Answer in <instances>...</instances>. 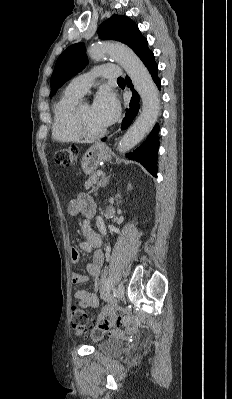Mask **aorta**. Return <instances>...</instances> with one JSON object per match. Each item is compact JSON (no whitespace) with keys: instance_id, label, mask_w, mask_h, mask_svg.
<instances>
[{"instance_id":"762f6f07","label":"aorta","mask_w":232,"mask_h":399,"mask_svg":"<svg viewBox=\"0 0 232 399\" xmlns=\"http://www.w3.org/2000/svg\"><path fill=\"white\" fill-rule=\"evenodd\" d=\"M89 54L94 60L109 56L119 63L142 99L140 115L118 144L119 153H125L136 146L154 127L160 111L158 89L145 65L129 47L119 43H96L90 47ZM113 213L111 209L107 216L111 217Z\"/></svg>"}]
</instances>
